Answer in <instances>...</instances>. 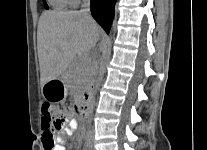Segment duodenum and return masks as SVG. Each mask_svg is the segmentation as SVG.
I'll return each mask as SVG.
<instances>
[{"instance_id":"duodenum-1","label":"duodenum","mask_w":207,"mask_h":150,"mask_svg":"<svg viewBox=\"0 0 207 150\" xmlns=\"http://www.w3.org/2000/svg\"><path fill=\"white\" fill-rule=\"evenodd\" d=\"M92 91L91 89H87L81 97L80 103L84 109V112L87 113L89 111L91 105Z\"/></svg>"}]
</instances>
